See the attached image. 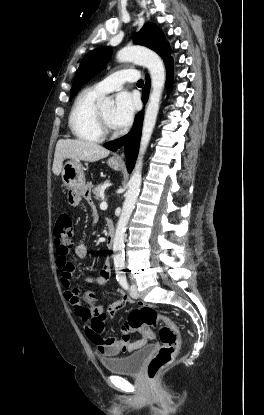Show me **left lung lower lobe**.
I'll return each instance as SVG.
<instances>
[{
	"label": "left lung lower lobe",
	"mask_w": 264,
	"mask_h": 415,
	"mask_svg": "<svg viewBox=\"0 0 264 415\" xmlns=\"http://www.w3.org/2000/svg\"><path fill=\"white\" fill-rule=\"evenodd\" d=\"M165 65H166V71H167L166 85L168 89L170 90L172 86V81H173V60L172 59L169 60L167 63H165ZM149 89H150V79L148 76H146V84L144 86L143 96H142V100L144 103H146L148 99ZM142 122H143V112L139 113L135 117L134 125L131 131L127 135L117 140L104 144V146L107 149L112 150V151H116L118 148L124 145V152L127 157L126 166H127L129 173L132 171L135 165L136 157L138 154L139 142H140L141 130H142Z\"/></svg>",
	"instance_id": "left-lung-lower-lobe-1"
}]
</instances>
